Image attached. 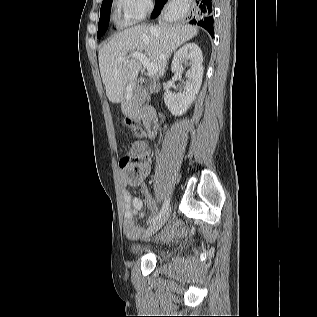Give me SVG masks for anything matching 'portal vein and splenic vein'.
Instances as JSON below:
<instances>
[{
  "label": "portal vein and splenic vein",
  "instance_id": "portal-vein-and-splenic-vein-1",
  "mask_svg": "<svg viewBox=\"0 0 317 317\" xmlns=\"http://www.w3.org/2000/svg\"><path fill=\"white\" fill-rule=\"evenodd\" d=\"M128 57L138 59L143 67L147 69L149 77H153L157 73V65L147 58V56L140 52H132ZM128 57H121L119 58L120 61H124Z\"/></svg>",
  "mask_w": 317,
  "mask_h": 317
}]
</instances>
